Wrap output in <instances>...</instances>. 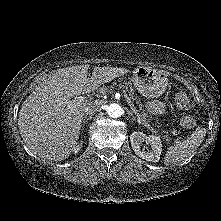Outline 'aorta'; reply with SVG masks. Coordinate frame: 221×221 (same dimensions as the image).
<instances>
[{
	"instance_id": "aorta-1",
	"label": "aorta",
	"mask_w": 221,
	"mask_h": 221,
	"mask_svg": "<svg viewBox=\"0 0 221 221\" xmlns=\"http://www.w3.org/2000/svg\"><path fill=\"white\" fill-rule=\"evenodd\" d=\"M107 113L112 118H118V117H120L123 114V109H122V107L119 104L111 103L107 107Z\"/></svg>"
}]
</instances>
